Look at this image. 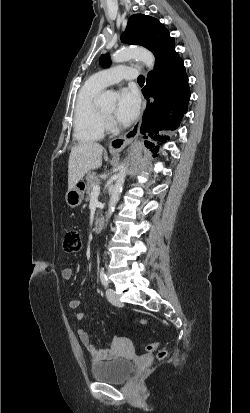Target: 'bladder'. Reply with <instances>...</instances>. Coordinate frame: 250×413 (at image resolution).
<instances>
[{
	"label": "bladder",
	"instance_id": "obj_1",
	"mask_svg": "<svg viewBox=\"0 0 250 413\" xmlns=\"http://www.w3.org/2000/svg\"><path fill=\"white\" fill-rule=\"evenodd\" d=\"M134 369V363L128 358L95 362L91 365L92 376L95 380L111 384L125 382L131 376Z\"/></svg>",
	"mask_w": 250,
	"mask_h": 413
}]
</instances>
